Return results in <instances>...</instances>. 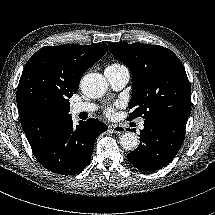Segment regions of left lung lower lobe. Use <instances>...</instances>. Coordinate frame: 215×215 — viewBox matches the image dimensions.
I'll use <instances>...</instances> for the list:
<instances>
[{
  "label": "left lung lower lobe",
  "instance_id": "1",
  "mask_svg": "<svg viewBox=\"0 0 215 215\" xmlns=\"http://www.w3.org/2000/svg\"><path fill=\"white\" fill-rule=\"evenodd\" d=\"M188 117L166 116L146 119L139 146L127 154L139 170L151 172L168 165L181 148Z\"/></svg>",
  "mask_w": 215,
  "mask_h": 215
}]
</instances>
